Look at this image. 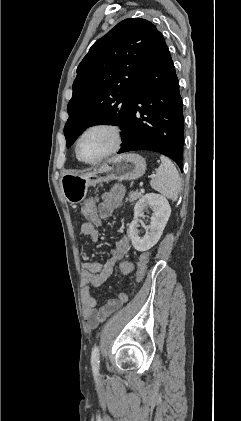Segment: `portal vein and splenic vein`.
<instances>
[{"instance_id": "portal-vein-and-splenic-vein-1", "label": "portal vein and splenic vein", "mask_w": 241, "mask_h": 421, "mask_svg": "<svg viewBox=\"0 0 241 421\" xmlns=\"http://www.w3.org/2000/svg\"><path fill=\"white\" fill-rule=\"evenodd\" d=\"M155 175H151L150 177L153 178ZM141 193H144L145 190L144 189H140Z\"/></svg>"}]
</instances>
